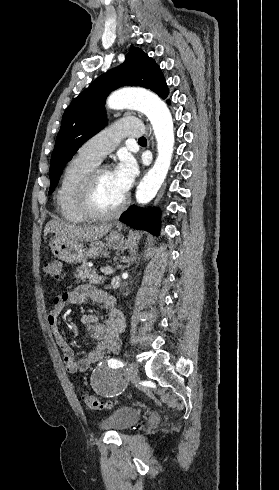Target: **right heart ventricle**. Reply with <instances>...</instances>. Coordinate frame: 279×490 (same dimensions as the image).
Returning a JSON list of instances; mask_svg holds the SVG:
<instances>
[{
	"label": "right heart ventricle",
	"mask_w": 279,
	"mask_h": 490,
	"mask_svg": "<svg viewBox=\"0 0 279 490\" xmlns=\"http://www.w3.org/2000/svg\"><path fill=\"white\" fill-rule=\"evenodd\" d=\"M97 165L79 153L65 165L57 191V202L62 218L68 223L79 225L91 219L84 212L81 199L85 180Z\"/></svg>",
	"instance_id": "obj_1"
}]
</instances>
